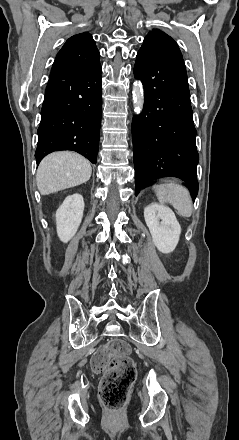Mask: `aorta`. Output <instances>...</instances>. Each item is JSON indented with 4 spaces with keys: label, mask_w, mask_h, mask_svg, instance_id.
<instances>
[{
    "label": "aorta",
    "mask_w": 239,
    "mask_h": 440,
    "mask_svg": "<svg viewBox=\"0 0 239 440\" xmlns=\"http://www.w3.org/2000/svg\"><path fill=\"white\" fill-rule=\"evenodd\" d=\"M132 96H133V104L136 108V112H139L140 114L144 106V92L140 84H135V86H133Z\"/></svg>",
    "instance_id": "1"
}]
</instances>
